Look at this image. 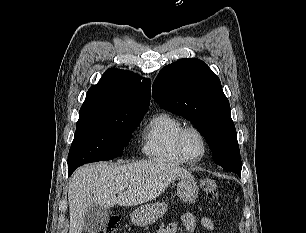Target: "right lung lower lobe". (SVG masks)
I'll return each instance as SVG.
<instances>
[{
  "label": "right lung lower lobe",
  "mask_w": 306,
  "mask_h": 233,
  "mask_svg": "<svg viewBox=\"0 0 306 233\" xmlns=\"http://www.w3.org/2000/svg\"><path fill=\"white\" fill-rule=\"evenodd\" d=\"M73 173V171L68 170V174L71 175Z\"/></svg>",
  "instance_id": "obj_1"
}]
</instances>
